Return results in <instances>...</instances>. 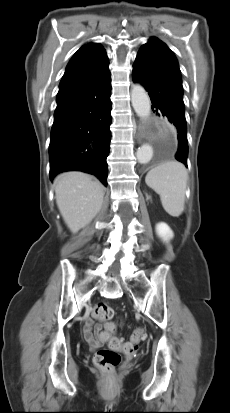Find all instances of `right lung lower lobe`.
Wrapping results in <instances>:
<instances>
[{"mask_svg": "<svg viewBox=\"0 0 230 413\" xmlns=\"http://www.w3.org/2000/svg\"><path fill=\"white\" fill-rule=\"evenodd\" d=\"M110 72L60 88L49 146L50 178L78 170L97 176L107 186L110 149Z\"/></svg>", "mask_w": 230, "mask_h": 413, "instance_id": "obj_1", "label": "right lung lower lobe"}]
</instances>
